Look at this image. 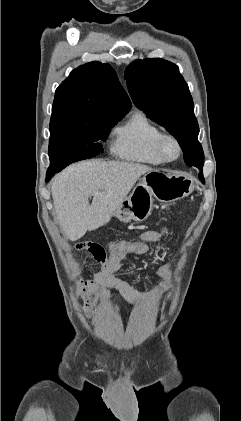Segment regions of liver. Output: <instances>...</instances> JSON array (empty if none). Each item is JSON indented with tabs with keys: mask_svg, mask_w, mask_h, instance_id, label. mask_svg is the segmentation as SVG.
<instances>
[{
	"mask_svg": "<svg viewBox=\"0 0 241 421\" xmlns=\"http://www.w3.org/2000/svg\"><path fill=\"white\" fill-rule=\"evenodd\" d=\"M151 170L144 164L101 160L67 167L55 176L51 187L63 234L76 241L107 224L137 180ZM89 196H93L91 205Z\"/></svg>",
	"mask_w": 241,
	"mask_h": 421,
	"instance_id": "liver-1",
	"label": "liver"
}]
</instances>
